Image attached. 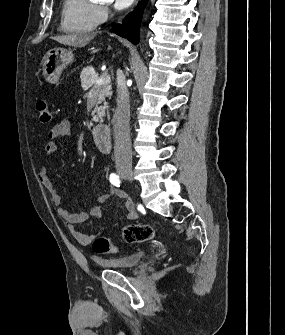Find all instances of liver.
<instances>
[{"mask_svg": "<svg viewBox=\"0 0 285 335\" xmlns=\"http://www.w3.org/2000/svg\"><path fill=\"white\" fill-rule=\"evenodd\" d=\"M93 38H95L94 34H68V36H54L52 40H56V42L64 44V46L84 48Z\"/></svg>", "mask_w": 285, "mask_h": 335, "instance_id": "liver-1", "label": "liver"}]
</instances>
